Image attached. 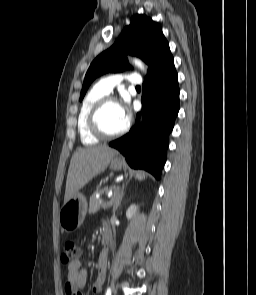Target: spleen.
<instances>
[{"label": "spleen", "mask_w": 256, "mask_h": 295, "mask_svg": "<svg viewBox=\"0 0 256 295\" xmlns=\"http://www.w3.org/2000/svg\"><path fill=\"white\" fill-rule=\"evenodd\" d=\"M137 178H139L140 180H143L145 178L144 174H137Z\"/></svg>", "instance_id": "3e777b00"}]
</instances>
